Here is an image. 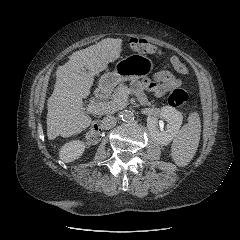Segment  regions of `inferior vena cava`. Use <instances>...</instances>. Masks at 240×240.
Masks as SVG:
<instances>
[{
    "mask_svg": "<svg viewBox=\"0 0 240 240\" xmlns=\"http://www.w3.org/2000/svg\"><path fill=\"white\" fill-rule=\"evenodd\" d=\"M116 118L114 116H106L101 121V128L105 130H109L116 125Z\"/></svg>",
    "mask_w": 240,
    "mask_h": 240,
    "instance_id": "1",
    "label": "inferior vena cava"
}]
</instances>
